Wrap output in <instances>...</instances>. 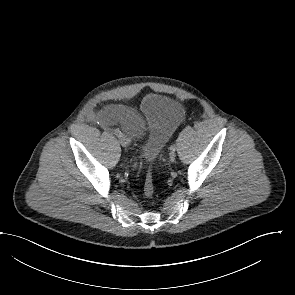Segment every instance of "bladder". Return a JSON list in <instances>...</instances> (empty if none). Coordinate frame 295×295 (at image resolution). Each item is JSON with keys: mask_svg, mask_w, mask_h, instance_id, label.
Listing matches in <instances>:
<instances>
[{"mask_svg": "<svg viewBox=\"0 0 295 295\" xmlns=\"http://www.w3.org/2000/svg\"><path fill=\"white\" fill-rule=\"evenodd\" d=\"M139 113L149 124L147 135L139 148L140 156L144 161L152 162L183 119L184 108L173 97L150 94L143 99Z\"/></svg>", "mask_w": 295, "mask_h": 295, "instance_id": "obj_1", "label": "bladder"}]
</instances>
